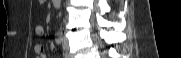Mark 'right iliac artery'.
Listing matches in <instances>:
<instances>
[{"instance_id":"82829eb1","label":"right iliac artery","mask_w":181,"mask_h":58,"mask_svg":"<svg viewBox=\"0 0 181 58\" xmlns=\"http://www.w3.org/2000/svg\"><path fill=\"white\" fill-rule=\"evenodd\" d=\"M55 41H56L57 44H61V42L63 41L62 34H60V33L57 34V37H56Z\"/></svg>"}]
</instances>
